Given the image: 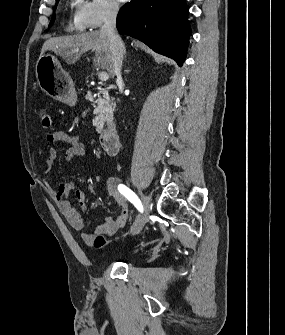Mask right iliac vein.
Wrapping results in <instances>:
<instances>
[{"instance_id":"obj_1","label":"right iliac vein","mask_w":285,"mask_h":335,"mask_svg":"<svg viewBox=\"0 0 285 335\" xmlns=\"http://www.w3.org/2000/svg\"><path fill=\"white\" fill-rule=\"evenodd\" d=\"M141 198H142V202H143V208H144V212L146 214H148V212L150 211V204H149V199L147 196L141 194ZM146 220H147V217L145 215H139V217L137 218L135 224H134V227L132 228L131 230V233L132 234H138L144 224L146 223Z\"/></svg>"}]
</instances>
